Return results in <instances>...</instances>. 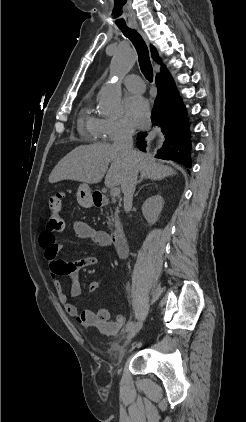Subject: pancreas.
<instances>
[{
  "label": "pancreas",
  "instance_id": "1",
  "mask_svg": "<svg viewBox=\"0 0 246 422\" xmlns=\"http://www.w3.org/2000/svg\"><path fill=\"white\" fill-rule=\"evenodd\" d=\"M118 214H119V210H118V208H116L114 212L111 210L110 216H107V218L109 220L108 224H109L110 228H111L113 222H115L116 224L119 223Z\"/></svg>",
  "mask_w": 246,
  "mask_h": 422
}]
</instances>
